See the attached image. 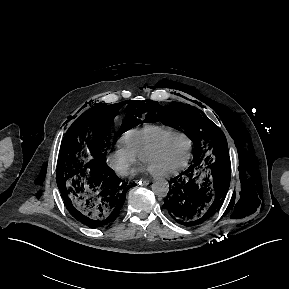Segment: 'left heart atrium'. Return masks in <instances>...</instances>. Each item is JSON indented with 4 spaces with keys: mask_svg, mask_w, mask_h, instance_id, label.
<instances>
[{
    "mask_svg": "<svg viewBox=\"0 0 289 289\" xmlns=\"http://www.w3.org/2000/svg\"><path fill=\"white\" fill-rule=\"evenodd\" d=\"M143 170H149L147 167L142 168Z\"/></svg>",
    "mask_w": 289,
    "mask_h": 289,
    "instance_id": "left-heart-atrium-1",
    "label": "left heart atrium"
}]
</instances>
